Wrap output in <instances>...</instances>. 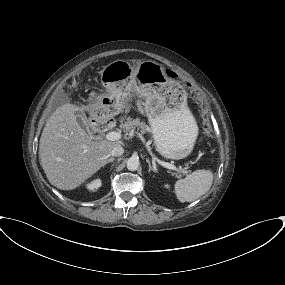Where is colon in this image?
<instances>
[{
	"label": "colon",
	"mask_w": 285,
	"mask_h": 285,
	"mask_svg": "<svg viewBox=\"0 0 285 285\" xmlns=\"http://www.w3.org/2000/svg\"><path fill=\"white\" fill-rule=\"evenodd\" d=\"M168 75L170 76H173V73L171 71H167ZM191 94L194 98H196L199 103H200V107H201V111L202 112H205V105H204V102H203V96H202V93L197 90L196 88H191Z\"/></svg>",
	"instance_id": "obj_1"
}]
</instances>
